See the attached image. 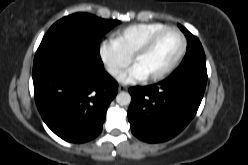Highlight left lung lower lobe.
<instances>
[{"instance_id":"1","label":"left lung lower lobe","mask_w":248,"mask_h":165,"mask_svg":"<svg viewBox=\"0 0 248 165\" xmlns=\"http://www.w3.org/2000/svg\"><path fill=\"white\" fill-rule=\"evenodd\" d=\"M206 83L205 61L172 73L158 84L130 88L128 120L132 133L149 143L175 137L195 116Z\"/></svg>"}]
</instances>
